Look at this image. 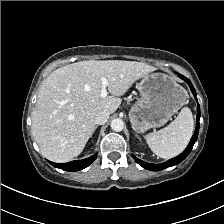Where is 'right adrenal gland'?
Instances as JSON below:
<instances>
[{
    "mask_svg": "<svg viewBox=\"0 0 224 224\" xmlns=\"http://www.w3.org/2000/svg\"><path fill=\"white\" fill-rule=\"evenodd\" d=\"M98 128V125L95 127V129H97Z\"/></svg>",
    "mask_w": 224,
    "mask_h": 224,
    "instance_id": "obj_1",
    "label": "right adrenal gland"
}]
</instances>
